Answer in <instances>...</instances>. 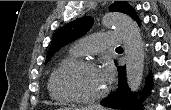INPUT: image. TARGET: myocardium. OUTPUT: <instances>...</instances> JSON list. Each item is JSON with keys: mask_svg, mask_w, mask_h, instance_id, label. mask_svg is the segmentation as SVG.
<instances>
[{"mask_svg": "<svg viewBox=\"0 0 171 110\" xmlns=\"http://www.w3.org/2000/svg\"><path fill=\"white\" fill-rule=\"evenodd\" d=\"M76 68H90V69H97L95 64L90 60L85 59H73L66 63H64L57 71L55 76V85L58 92L64 96L65 98L69 99L70 101L77 102V103H84V104H93L102 100L106 95L109 93L110 87L109 85L106 86L104 91L99 95L93 97H85L77 95L71 92L63 82V78L65 74Z\"/></svg>", "mask_w": 171, "mask_h": 110, "instance_id": "myocardium-1", "label": "myocardium"}]
</instances>
